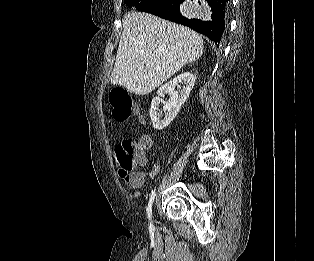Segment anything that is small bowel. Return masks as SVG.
I'll list each match as a JSON object with an SVG mask.
<instances>
[{"mask_svg": "<svg viewBox=\"0 0 314 261\" xmlns=\"http://www.w3.org/2000/svg\"><path fill=\"white\" fill-rule=\"evenodd\" d=\"M147 159H146V154L145 152L143 153V155L141 156L140 160H139V166H144L146 165ZM159 171V165L155 164L153 166L152 171L149 173L150 177H154ZM143 177H145V175L143 174Z\"/></svg>", "mask_w": 314, "mask_h": 261, "instance_id": "small-bowel-1", "label": "small bowel"}]
</instances>
